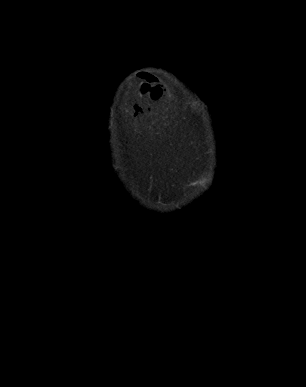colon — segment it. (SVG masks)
Masks as SVG:
<instances>
[{
  "mask_svg": "<svg viewBox=\"0 0 306 387\" xmlns=\"http://www.w3.org/2000/svg\"><path fill=\"white\" fill-rule=\"evenodd\" d=\"M145 91L152 101L158 100L162 95L161 87L154 83L145 84Z\"/></svg>",
  "mask_w": 306,
  "mask_h": 387,
  "instance_id": "obj_1",
  "label": "colon"
}]
</instances>
